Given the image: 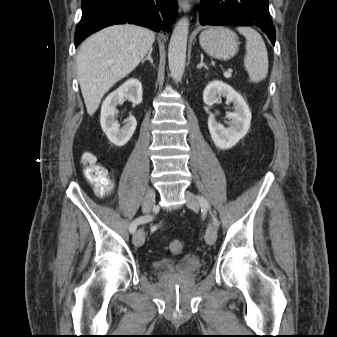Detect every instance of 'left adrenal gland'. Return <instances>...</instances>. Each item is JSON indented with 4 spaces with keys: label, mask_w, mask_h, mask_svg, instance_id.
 <instances>
[{
    "label": "left adrenal gland",
    "mask_w": 337,
    "mask_h": 337,
    "mask_svg": "<svg viewBox=\"0 0 337 337\" xmlns=\"http://www.w3.org/2000/svg\"><path fill=\"white\" fill-rule=\"evenodd\" d=\"M201 67H204L205 69H208L207 65L203 62V55L201 54V62L197 65V69H200Z\"/></svg>",
    "instance_id": "a2214340"
}]
</instances>
